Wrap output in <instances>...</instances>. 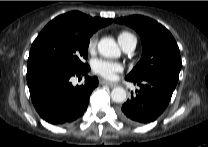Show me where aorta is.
Masks as SVG:
<instances>
[{"mask_svg":"<svg viewBox=\"0 0 208 147\" xmlns=\"http://www.w3.org/2000/svg\"><path fill=\"white\" fill-rule=\"evenodd\" d=\"M98 52L107 58H117L121 53L115 40L110 37H104L98 42ZM111 98L116 103L125 102L126 91L122 87H115L111 91Z\"/></svg>","mask_w":208,"mask_h":147,"instance_id":"aorta-1","label":"aorta"}]
</instances>
